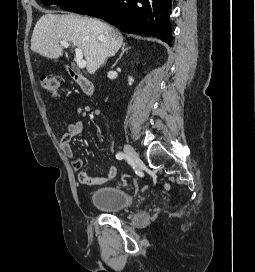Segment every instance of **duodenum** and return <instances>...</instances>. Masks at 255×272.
Returning <instances> with one entry per match:
<instances>
[{"instance_id":"410a0bca","label":"duodenum","mask_w":255,"mask_h":272,"mask_svg":"<svg viewBox=\"0 0 255 272\" xmlns=\"http://www.w3.org/2000/svg\"><path fill=\"white\" fill-rule=\"evenodd\" d=\"M68 72L71 78L79 85L80 89L86 95H92L95 91V86L92 81L87 79L81 73H79L76 69L69 67Z\"/></svg>"}]
</instances>
